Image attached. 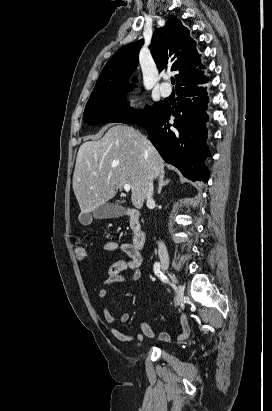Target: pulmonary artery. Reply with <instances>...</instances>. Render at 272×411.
<instances>
[{
    "label": "pulmonary artery",
    "mask_w": 272,
    "mask_h": 411,
    "mask_svg": "<svg viewBox=\"0 0 272 411\" xmlns=\"http://www.w3.org/2000/svg\"><path fill=\"white\" fill-rule=\"evenodd\" d=\"M165 78H167V76H165ZM160 92L163 96H169L172 92V89L169 84L163 83L160 86Z\"/></svg>",
    "instance_id": "obj_1"
}]
</instances>
